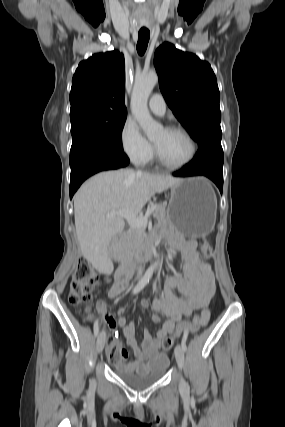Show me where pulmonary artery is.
I'll list each match as a JSON object with an SVG mask.
<instances>
[{
	"label": "pulmonary artery",
	"instance_id": "e3ab8cb5",
	"mask_svg": "<svg viewBox=\"0 0 285 427\" xmlns=\"http://www.w3.org/2000/svg\"><path fill=\"white\" fill-rule=\"evenodd\" d=\"M148 104L150 110L157 115H163L166 111L165 100L159 93L153 94Z\"/></svg>",
	"mask_w": 285,
	"mask_h": 427
}]
</instances>
